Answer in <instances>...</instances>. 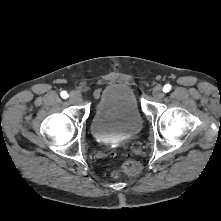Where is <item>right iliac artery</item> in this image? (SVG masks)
Returning a JSON list of instances; mask_svg holds the SVG:
<instances>
[{
	"label": "right iliac artery",
	"instance_id": "obj_1",
	"mask_svg": "<svg viewBox=\"0 0 221 221\" xmlns=\"http://www.w3.org/2000/svg\"><path fill=\"white\" fill-rule=\"evenodd\" d=\"M60 95H61V97L64 98V99H66V98L68 97V93H67L66 91H62V92L60 93Z\"/></svg>",
	"mask_w": 221,
	"mask_h": 221
}]
</instances>
